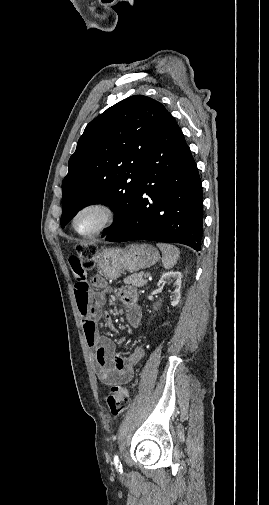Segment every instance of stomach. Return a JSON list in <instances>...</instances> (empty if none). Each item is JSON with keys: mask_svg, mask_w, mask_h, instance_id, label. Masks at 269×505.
Segmentation results:
<instances>
[{"mask_svg": "<svg viewBox=\"0 0 269 505\" xmlns=\"http://www.w3.org/2000/svg\"><path fill=\"white\" fill-rule=\"evenodd\" d=\"M158 250L150 244H130L124 249L106 248L97 256L100 272L111 280L117 279L124 271L137 272L158 262Z\"/></svg>", "mask_w": 269, "mask_h": 505, "instance_id": "1", "label": "stomach"}]
</instances>
